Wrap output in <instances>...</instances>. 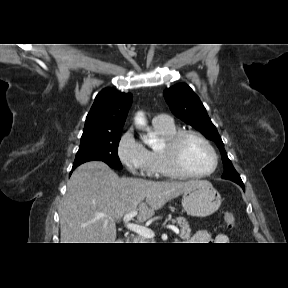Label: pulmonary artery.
Wrapping results in <instances>:
<instances>
[{"instance_id":"1","label":"pulmonary artery","mask_w":288,"mask_h":288,"mask_svg":"<svg viewBox=\"0 0 288 288\" xmlns=\"http://www.w3.org/2000/svg\"><path fill=\"white\" fill-rule=\"evenodd\" d=\"M172 123V119L170 118L169 115L167 114H160L157 115L154 119H153V124H159V125H169Z\"/></svg>"}]
</instances>
